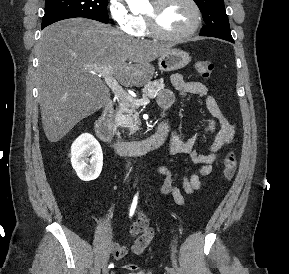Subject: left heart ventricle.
I'll return each instance as SVG.
<instances>
[{
	"label": "left heart ventricle",
	"instance_id": "left-heart-ventricle-1",
	"mask_svg": "<svg viewBox=\"0 0 289 274\" xmlns=\"http://www.w3.org/2000/svg\"><path fill=\"white\" fill-rule=\"evenodd\" d=\"M151 5L146 12L151 10ZM158 21L162 30L168 33H182L194 22V11L187 0H170L159 12Z\"/></svg>",
	"mask_w": 289,
	"mask_h": 274
}]
</instances>
